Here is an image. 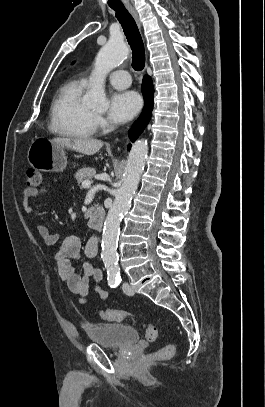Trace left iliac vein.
<instances>
[{"instance_id": "1", "label": "left iliac vein", "mask_w": 265, "mask_h": 407, "mask_svg": "<svg viewBox=\"0 0 265 407\" xmlns=\"http://www.w3.org/2000/svg\"><path fill=\"white\" fill-rule=\"evenodd\" d=\"M122 289H123L124 293L127 294V295H133L134 294L133 288L126 282L123 283Z\"/></svg>"}]
</instances>
